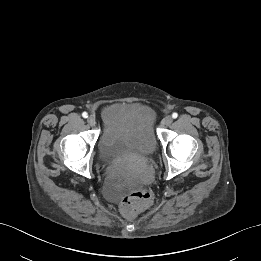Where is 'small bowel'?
<instances>
[{
	"mask_svg": "<svg viewBox=\"0 0 261 261\" xmlns=\"http://www.w3.org/2000/svg\"><path fill=\"white\" fill-rule=\"evenodd\" d=\"M103 120L106 132L114 133L124 128L138 129L143 123L151 124L153 114L144 106L115 103L104 107Z\"/></svg>",
	"mask_w": 261,
	"mask_h": 261,
	"instance_id": "c3829d8e",
	"label": "small bowel"
}]
</instances>
